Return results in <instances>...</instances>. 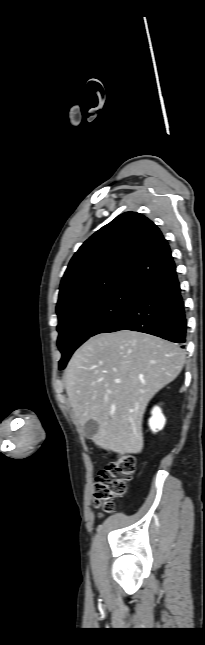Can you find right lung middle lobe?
<instances>
[{
    "label": "right lung middle lobe",
    "instance_id": "right-lung-middle-lobe-1",
    "mask_svg": "<svg viewBox=\"0 0 205 645\" xmlns=\"http://www.w3.org/2000/svg\"><path fill=\"white\" fill-rule=\"evenodd\" d=\"M140 285L126 283L109 291L84 297L57 313L59 369L88 338L101 333L122 315L139 296Z\"/></svg>",
    "mask_w": 205,
    "mask_h": 645
}]
</instances>
